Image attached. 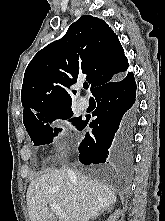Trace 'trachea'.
<instances>
[{
	"label": "trachea",
	"instance_id": "1",
	"mask_svg": "<svg viewBox=\"0 0 165 221\" xmlns=\"http://www.w3.org/2000/svg\"><path fill=\"white\" fill-rule=\"evenodd\" d=\"M83 87H84V89H88V88H89L88 83H84V84H83Z\"/></svg>",
	"mask_w": 165,
	"mask_h": 221
}]
</instances>
